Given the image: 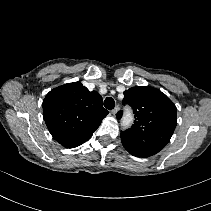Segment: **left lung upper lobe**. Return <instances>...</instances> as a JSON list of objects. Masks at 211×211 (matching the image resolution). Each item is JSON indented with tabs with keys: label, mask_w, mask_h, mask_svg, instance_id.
Here are the masks:
<instances>
[{
	"label": "left lung upper lobe",
	"mask_w": 211,
	"mask_h": 211,
	"mask_svg": "<svg viewBox=\"0 0 211 211\" xmlns=\"http://www.w3.org/2000/svg\"><path fill=\"white\" fill-rule=\"evenodd\" d=\"M123 104H129L135 114L132 127L121 131L124 148L136 157H149L162 150L177 124L174 103L158 89L136 86L124 91ZM122 114L119 111L117 119Z\"/></svg>",
	"instance_id": "obj_1"
}]
</instances>
